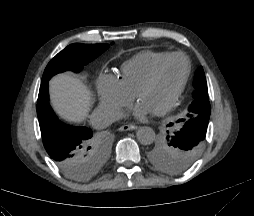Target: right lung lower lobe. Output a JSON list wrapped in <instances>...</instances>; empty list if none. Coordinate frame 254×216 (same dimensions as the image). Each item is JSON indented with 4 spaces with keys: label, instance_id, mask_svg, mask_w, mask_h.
<instances>
[{
    "label": "right lung lower lobe",
    "instance_id": "obj_1",
    "mask_svg": "<svg viewBox=\"0 0 254 216\" xmlns=\"http://www.w3.org/2000/svg\"><path fill=\"white\" fill-rule=\"evenodd\" d=\"M37 115L42 141L50 158L64 171L77 162L81 172L91 178L95 172L91 159L95 136L89 128L60 122L49 104L48 81L41 82Z\"/></svg>",
    "mask_w": 254,
    "mask_h": 216
}]
</instances>
